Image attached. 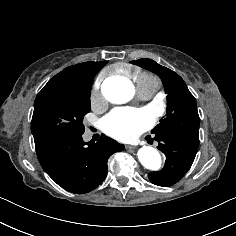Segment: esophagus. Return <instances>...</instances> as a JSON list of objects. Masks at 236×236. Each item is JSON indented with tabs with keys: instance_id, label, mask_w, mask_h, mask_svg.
I'll return each instance as SVG.
<instances>
[{
	"instance_id": "esophagus-1",
	"label": "esophagus",
	"mask_w": 236,
	"mask_h": 236,
	"mask_svg": "<svg viewBox=\"0 0 236 236\" xmlns=\"http://www.w3.org/2000/svg\"><path fill=\"white\" fill-rule=\"evenodd\" d=\"M129 148H134V146H128Z\"/></svg>"
}]
</instances>
